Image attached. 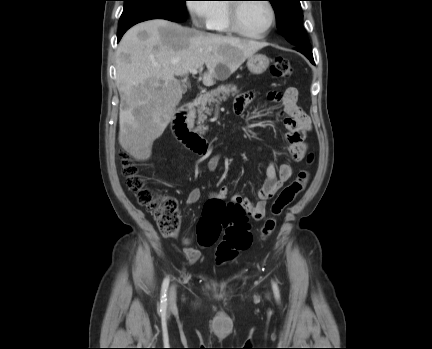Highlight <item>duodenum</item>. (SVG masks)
Segmentation results:
<instances>
[{"instance_id": "410a0bca", "label": "duodenum", "mask_w": 432, "mask_h": 349, "mask_svg": "<svg viewBox=\"0 0 432 349\" xmlns=\"http://www.w3.org/2000/svg\"><path fill=\"white\" fill-rule=\"evenodd\" d=\"M197 105V99H193L186 102L174 114L173 132L177 139L190 151L198 155H205L208 151L207 141L192 126V119Z\"/></svg>"}]
</instances>
